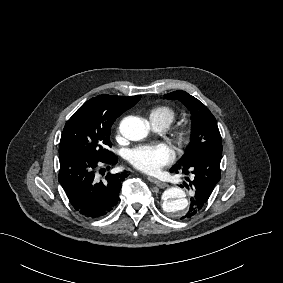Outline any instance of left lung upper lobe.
Here are the masks:
<instances>
[{"label": "left lung upper lobe", "instance_id": "1", "mask_svg": "<svg viewBox=\"0 0 283 283\" xmlns=\"http://www.w3.org/2000/svg\"><path fill=\"white\" fill-rule=\"evenodd\" d=\"M167 99L180 100L191 112V141L186 154L178 164L187 166L205 153L222 152V139L215 117L198 99L185 91L164 95Z\"/></svg>", "mask_w": 283, "mask_h": 283}]
</instances>
